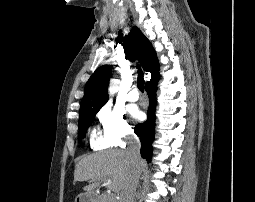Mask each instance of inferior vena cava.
I'll return each mask as SVG.
<instances>
[{
	"mask_svg": "<svg viewBox=\"0 0 255 202\" xmlns=\"http://www.w3.org/2000/svg\"><path fill=\"white\" fill-rule=\"evenodd\" d=\"M140 147L141 144L139 138L136 135H134V133H131L129 135V145L125 152L132 163V172L129 182L120 193L119 202H134L136 189L139 184V178L141 174Z\"/></svg>",
	"mask_w": 255,
	"mask_h": 202,
	"instance_id": "inferior-vena-cava-1",
	"label": "inferior vena cava"
}]
</instances>
